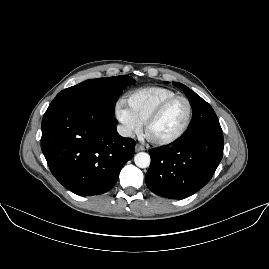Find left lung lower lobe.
I'll list each match as a JSON object with an SVG mask.
<instances>
[{
  "mask_svg": "<svg viewBox=\"0 0 269 269\" xmlns=\"http://www.w3.org/2000/svg\"><path fill=\"white\" fill-rule=\"evenodd\" d=\"M222 130L181 137L170 146L149 150L151 166L145 175L148 188L170 199H184L205 186L223 155Z\"/></svg>",
  "mask_w": 269,
  "mask_h": 269,
  "instance_id": "obj_1",
  "label": "left lung lower lobe"
}]
</instances>
